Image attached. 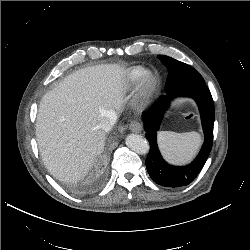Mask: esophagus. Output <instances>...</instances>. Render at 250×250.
<instances>
[{
	"mask_svg": "<svg viewBox=\"0 0 250 250\" xmlns=\"http://www.w3.org/2000/svg\"><path fill=\"white\" fill-rule=\"evenodd\" d=\"M129 129L134 133H140L142 131V125L138 121H132L129 124Z\"/></svg>",
	"mask_w": 250,
	"mask_h": 250,
	"instance_id": "1",
	"label": "esophagus"
}]
</instances>
